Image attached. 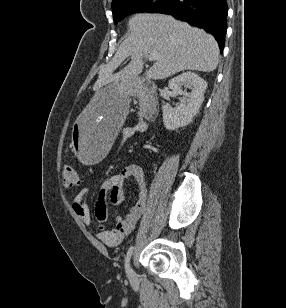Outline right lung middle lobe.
Returning <instances> with one entry per match:
<instances>
[{
    "mask_svg": "<svg viewBox=\"0 0 286 308\" xmlns=\"http://www.w3.org/2000/svg\"><path fill=\"white\" fill-rule=\"evenodd\" d=\"M167 0H120L112 5L114 23L133 13L152 12Z\"/></svg>",
    "mask_w": 286,
    "mask_h": 308,
    "instance_id": "right-lung-middle-lobe-1",
    "label": "right lung middle lobe"
}]
</instances>
